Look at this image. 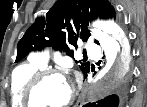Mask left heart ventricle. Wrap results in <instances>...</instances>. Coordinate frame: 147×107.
Segmentation results:
<instances>
[{"mask_svg": "<svg viewBox=\"0 0 147 107\" xmlns=\"http://www.w3.org/2000/svg\"><path fill=\"white\" fill-rule=\"evenodd\" d=\"M70 93L71 87L65 78L50 77L35 91L34 101L39 107H57L68 99Z\"/></svg>", "mask_w": 147, "mask_h": 107, "instance_id": "obj_1", "label": "left heart ventricle"}]
</instances>
